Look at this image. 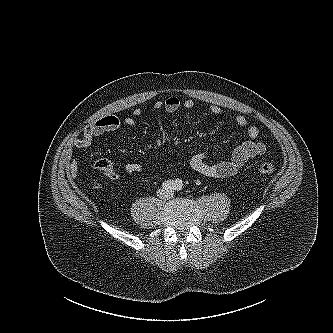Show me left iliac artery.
<instances>
[{
	"label": "left iliac artery",
	"instance_id": "obj_1",
	"mask_svg": "<svg viewBox=\"0 0 333 333\" xmlns=\"http://www.w3.org/2000/svg\"><path fill=\"white\" fill-rule=\"evenodd\" d=\"M182 187H183V182H182V180L177 179V180L175 181L174 189L177 190V191H179V190L182 189Z\"/></svg>",
	"mask_w": 333,
	"mask_h": 333
}]
</instances>
